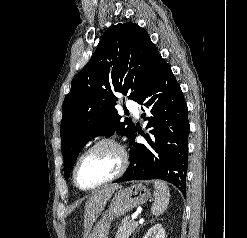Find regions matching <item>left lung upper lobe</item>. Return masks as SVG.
<instances>
[{
	"instance_id": "5c2ea615",
	"label": "left lung upper lobe",
	"mask_w": 247,
	"mask_h": 238,
	"mask_svg": "<svg viewBox=\"0 0 247 238\" xmlns=\"http://www.w3.org/2000/svg\"><path fill=\"white\" fill-rule=\"evenodd\" d=\"M162 60L148 33L135 23L112 25L103 33L93 57L73 78L63 102L60 135L64 177L92 138L117 132L130 139L135 126L128 118L120 121L114 92L138 101Z\"/></svg>"
}]
</instances>
